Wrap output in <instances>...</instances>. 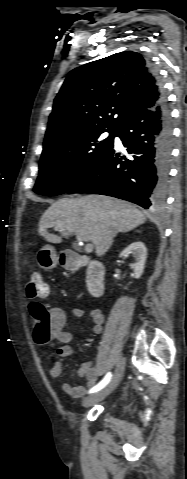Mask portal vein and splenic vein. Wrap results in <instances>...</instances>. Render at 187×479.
Returning a JSON list of instances; mask_svg holds the SVG:
<instances>
[{
    "label": "portal vein and splenic vein",
    "mask_w": 187,
    "mask_h": 479,
    "mask_svg": "<svg viewBox=\"0 0 187 479\" xmlns=\"http://www.w3.org/2000/svg\"><path fill=\"white\" fill-rule=\"evenodd\" d=\"M77 239L80 240V241H82V239H81L80 237H78V236H77ZM92 250H93V245H92L91 243L86 244V246H85V251H86V252H91Z\"/></svg>",
    "instance_id": "1"
}]
</instances>
